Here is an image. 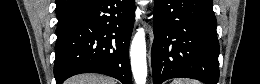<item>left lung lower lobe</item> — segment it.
I'll list each match as a JSON object with an SVG mask.
<instances>
[{"instance_id": "1", "label": "left lung lower lobe", "mask_w": 260, "mask_h": 84, "mask_svg": "<svg viewBox=\"0 0 260 84\" xmlns=\"http://www.w3.org/2000/svg\"><path fill=\"white\" fill-rule=\"evenodd\" d=\"M218 55L212 0L154 1V84L181 77L217 84Z\"/></svg>"}]
</instances>
